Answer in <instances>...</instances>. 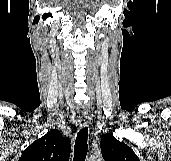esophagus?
<instances>
[{
  "instance_id": "1",
  "label": "esophagus",
  "mask_w": 171,
  "mask_h": 161,
  "mask_svg": "<svg viewBox=\"0 0 171 161\" xmlns=\"http://www.w3.org/2000/svg\"><path fill=\"white\" fill-rule=\"evenodd\" d=\"M90 121V117L86 112H81L78 116V123L80 126H86Z\"/></svg>"
}]
</instances>
